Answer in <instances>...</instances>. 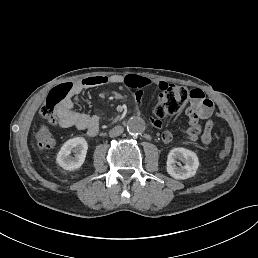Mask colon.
<instances>
[{
  "label": "colon",
  "instance_id": "1",
  "mask_svg": "<svg viewBox=\"0 0 258 258\" xmlns=\"http://www.w3.org/2000/svg\"><path fill=\"white\" fill-rule=\"evenodd\" d=\"M75 93V84L66 82L59 84L52 88L46 98L44 105L40 111V118L49 125H56L58 123L57 112L59 108L64 106ZM189 91L178 85L168 84L159 93L157 104L154 112L156 117L163 118L170 114L179 112L186 104L189 98ZM232 147L230 137L225 136L223 146L219 152L221 159H226Z\"/></svg>",
  "mask_w": 258,
  "mask_h": 258
}]
</instances>
